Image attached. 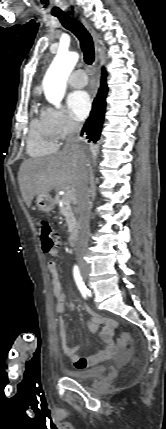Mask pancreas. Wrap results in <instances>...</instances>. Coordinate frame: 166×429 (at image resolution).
<instances>
[{
    "label": "pancreas",
    "instance_id": "cf45deb5",
    "mask_svg": "<svg viewBox=\"0 0 166 429\" xmlns=\"http://www.w3.org/2000/svg\"><path fill=\"white\" fill-rule=\"evenodd\" d=\"M72 201L73 199H68L63 196L61 206L59 208L60 214L65 216L69 232L75 231L78 227V222L76 220V208L71 206Z\"/></svg>",
    "mask_w": 166,
    "mask_h": 429
}]
</instances>
